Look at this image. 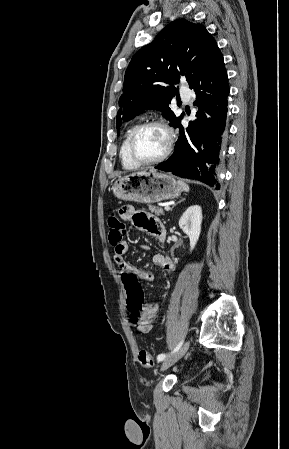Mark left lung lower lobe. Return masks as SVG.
<instances>
[{
  "label": "left lung lower lobe",
  "mask_w": 289,
  "mask_h": 449,
  "mask_svg": "<svg viewBox=\"0 0 289 449\" xmlns=\"http://www.w3.org/2000/svg\"><path fill=\"white\" fill-rule=\"evenodd\" d=\"M196 92L197 119L184 129L180 118L174 128L180 136L175 151L156 169L199 180L216 189L217 168L227 140L229 85L223 56L217 47L201 66L198 77L189 85Z\"/></svg>",
  "instance_id": "obj_1"
}]
</instances>
